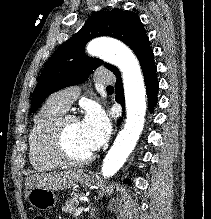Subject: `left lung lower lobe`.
Instances as JSON below:
<instances>
[{"label":"left lung lower lobe","mask_w":211,"mask_h":219,"mask_svg":"<svg viewBox=\"0 0 211 219\" xmlns=\"http://www.w3.org/2000/svg\"><path fill=\"white\" fill-rule=\"evenodd\" d=\"M135 54L139 59L143 71L146 90H147V98L149 102V110L152 112L154 106L157 103L158 80L156 77V65L153 59L154 55L149 45L148 37L143 41V43L140 45V47L138 48ZM114 74L117 78L115 84V100L117 103L121 104L122 107H125L121 74L119 70L114 72ZM120 122L121 119L118 121V124H120ZM127 181L129 180H126L125 182L127 183Z\"/></svg>","instance_id":"left-lung-lower-lobe-1"}]
</instances>
